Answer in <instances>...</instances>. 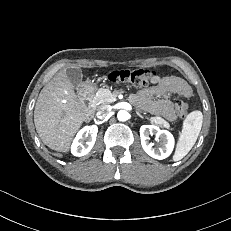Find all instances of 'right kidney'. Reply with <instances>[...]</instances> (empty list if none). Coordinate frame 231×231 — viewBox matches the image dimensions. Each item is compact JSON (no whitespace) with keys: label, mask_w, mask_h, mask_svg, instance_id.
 <instances>
[{"label":"right kidney","mask_w":231,"mask_h":231,"mask_svg":"<svg viewBox=\"0 0 231 231\" xmlns=\"http://www.w3.org/2000/svg\"><path fill=\"white\" fill-rule=\"evenodd\" d=\"M97 132L98 127L96 125L81 129L72 143L71 153L78 157L88 154L94 146Z\"/></svg>","instance_id":"obj_1"}]
</instances>
